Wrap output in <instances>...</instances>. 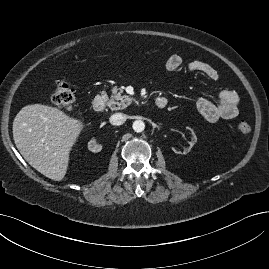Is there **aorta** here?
Here are the masks:
<instances>
[{
    "label": "aorta",
    "mask_w": 269,
    "mask_h": 269,
    "mask_svg": "<svg viewBox=\"0 0 269 269\" xmlns=\"http://www.w3.org/2000/svg\"><path fill=\"white\" fill-rule=\"evenodd\" d=\"M132 127L135 132H142L145 129V124L141 120H136L133 122Z\"/></svg>",
    "instance_id": "obj_1"
}]
</instances>
